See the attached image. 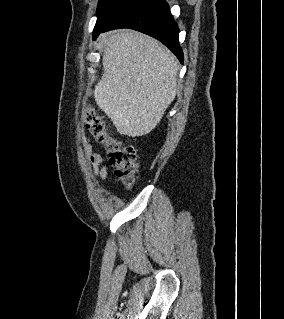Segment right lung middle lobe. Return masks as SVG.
<instances>
[{
	"label": "right lung middle lobe",
	"instance_id": "right-lung-middle-lobe-1",
	"mask_svg": "<svg viewBox=\"0 0 284 319\" xmlns=\"http://www.w3.org/2000/svg\"><path fill=\"white\" fill-rule=\"evenodd\" d=\"M137 0H100L97 8V22L94 31L107 26L121 12Z\"/></svg>",
	"mask_w": 284,
	"mask_h": 319
}]
</instances>
